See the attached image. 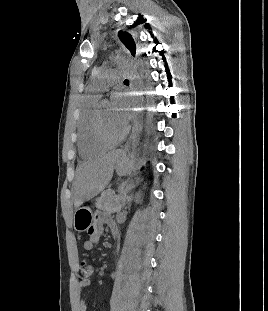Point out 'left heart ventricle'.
<instances>
[{"label":"left heart ventricle","mask_w":268,"mask_h":311,"mask_svg":"<svg viewBox=\"0 0 268 311\" xmlns=\"http://www.w3.org/2000/svg\"><path fill=\"white\" fill-rule=\"evenodd\" d=\"M103 126L106 133L112 137H117L121 134L124 128L122 124L113 111V107L109 103H104L101 105Z\"/></svg>","instance_id":"obj_1"}]
</instances>
